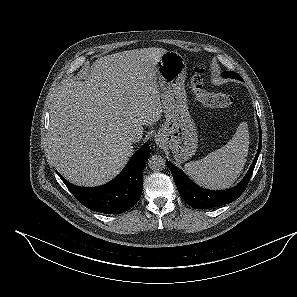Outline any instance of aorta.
<instances>
[{
  "label": "aorta",
  "mask_w": 297,
  "mask_h": 297,
  "mask_svg": "<svg viewBox=\"0 0 297 297\" xmlns=\"http://www.w3.org/2000/svg\"><path fill=\"white\" fill-rule=\"evenodd\" d=\"M148 166L152 171H162L166 166V162L162 156L153 155L148 159Z\"/></svg>",
  "instance_id": "obj_1"
}]
</instances>
